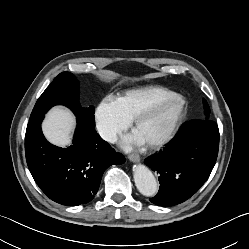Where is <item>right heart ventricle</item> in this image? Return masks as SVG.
Listing matches in <instances>:
<instances>
[{"label":"right heart ventricle","instance_id":"right-heart-ventricle-1","mask_svg":"<svg viewBox=\"0 0 249 249\" xmlns=\"http://www.w3.org/2000/svg\"><path fill=\"white\" fill-rule=\"evenodd\" d=\"M172 94L174 92L161 86H146L131 89L118 96L116 101L122 113L131 122L148 105Z\"/></svg>","mask_w":249,"mask_h":249}]
</instances>
